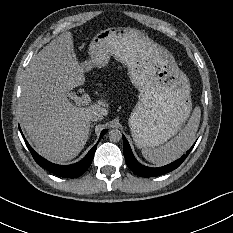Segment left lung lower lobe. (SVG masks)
I'll list each match as a JSON object with an SVG mask.
<instances>
[{
  "label": "left lung lower lobe",
  "instance_id": "0a47b994",
  "mask_svg": "<svg viewBox=\"0 0 233 233\" xmlns=\"http://www.w3.org/2000/svg\"><path fill=\"white\" fill-rule=\"evenodd\" d=\"M193 146L180 159H178V160H176V161H174V162H172V163H170V164H168L166 166H163V167L151 168V167H146V166L141 165L135 159L127 139L125 138V136H123V153H124V156H125V161H126L128 167L135 174H137L138 176H141V177L160 176V175H163L165 173H168V172L176 169L186 159V157L188 156V154L192 150Z\"/></svg>",
  "mask_w": 233,
  "mask_h": 233
}]
</instances>
